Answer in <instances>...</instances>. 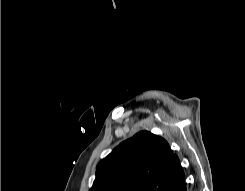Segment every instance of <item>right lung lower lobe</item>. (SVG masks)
<instances>
[{"instance_id": "1", "label": "right lung lower lobe", "mask_w": 245, "mask_h": 191, "mask_svg": "<svg viewBox=\"0 0 245 191\" xmlns=\"http://www.w3.org/2000/svg\"><path fill=\"white\" fill-rule=\"evenodd\" d=\"M169 191H187L184 180L172 187Z\"/></svg>"}]
</instances>
